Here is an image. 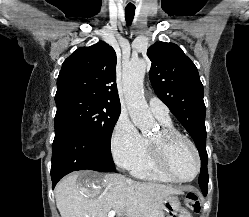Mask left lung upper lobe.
I'll return each mask as SVG.
<instances>
[{
	"label": "left lung upper lobe",
	"mask_w": 249,
	"mask_h": 217,
	"mask_svg": "<svg viewBox=\"0 0 249 217\" xmlns=\"http://www.w3.org/2000/svg\"><path fill=\"white\" fill-rule=\"evenodd\" d=\"M147 56L152 62L149 77L155 93L189 132L199 151L201 168H207L206 107L196 66L173 43L157 42L148 48Z\"/></svg>",
	"instance_id": "5c2ea615"
}]
</instances>
